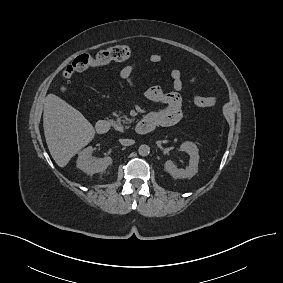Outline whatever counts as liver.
<instances>
[{"mask_svg":"<svg viewBox=\"0 0 283 283\" xmlns=\"http://www.w3.org/2000/svg\"><path fill=\"white\" fill-rule=\"evenodd\" d=\"M43 127L49 152L59 167H65L95 135L83 114L55 94L45 98Z\"/></svg>","mask_w":283,"mask_h":283,"instance_id":"6515ba94","label":"liver"}]
</instances>
